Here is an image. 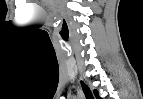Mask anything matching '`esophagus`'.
Here are the masks:
<instances>
[{
  "mask_svg": "<svg viewBox=\"0 0 143 99\" xmlns=\"http://www.w3.org/2000/svg\"><path fill=\"white\" fill-rule=\"evenodd\" d=\"M79 86L85 99H94V94L91 87L86 83L82 76L78 79Z\"/></svg>",
  "mask_w": 143,
  "mask_h": 99,
  "instance_id": "34e87169",
  "label": "esophagus"
}]
</instances>
